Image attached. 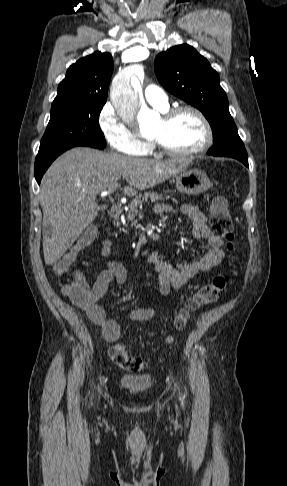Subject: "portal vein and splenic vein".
<instances>
[{
  "label": "portal vein and splenic vein",
  "instance_id": "portal-vein-and-splenic-vein-1",
  "mask_svg": "<svg viewBox=\"0 0 287 486\" xmlns=\"http://www.w3.org/2000/svg\"><path fill=\"white\" fill-rule=\"evenodd\" d=\"M118 187V183H115L109 190L103 191L101 193L102 196L110 195L112 194Z\"/></svg>",
  "mask_w": 287,
  "mask_h": 486
}]
</instances>
